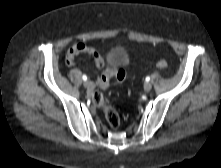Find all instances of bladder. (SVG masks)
<instances>
[{"label":"bladder","mask_w":221,"mask_h":168,"mask_svg":"<svg viewBox=\"0 0 221 168\" xmlns=\"http://www.w3.org/2000/svg\"><path fill=\"white\" fill-rule=\"evenodd\" d=\"M109 61L115 67H121L128 63L129 56L127 51L122 47H113L108 54Z\"/></svg>","instance_id":"bladder-1"}]
</instances>
